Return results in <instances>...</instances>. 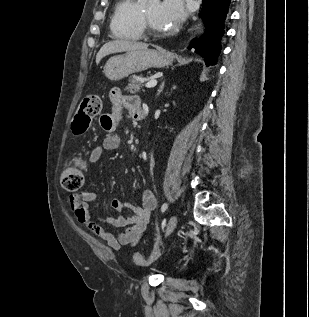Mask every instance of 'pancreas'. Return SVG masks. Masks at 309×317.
Returning a JSON list of instances; mask_svg holds the SVG:
<instances>
[{
	"label": "pancreas",
	"instance_id": "obj_1",
	"mask_svg": "<svg viewBox=\"0 0 309 317\" xmlns=\"http://www.w3.org/2000/svg\"><path fill=\"white\" fill-rule=\"evenodd\" d=\"M144 79L139 76H131L129 78V84L125 88L128 92L135 94L139 93L141 90L143 91Z\"/></svg>",
	"mask_w": 309,
	"mask_h": 317
}]
</instances>
